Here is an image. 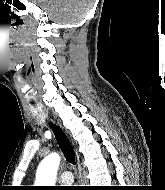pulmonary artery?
<instances>
[{
	"mask_svg": "<svg viewBox=\"0 0 165 190\" xmlns=\"http://www.w3.org/2000/svg\"><path fill=\"white\" fill-rule=\"evenodd\" d=\"M60 182L65 185H69L73 182V174L71 171H63L60 174Z\"/></svg>",
	"mask_w": 165,
	"mask_h": 190,
	"instance_id": "1",
	"label": "pulmonary artery"
}]
</instances>
